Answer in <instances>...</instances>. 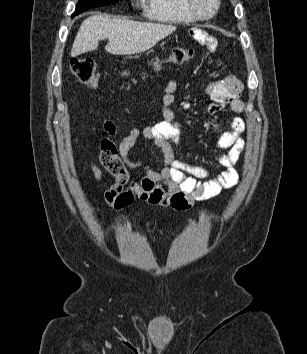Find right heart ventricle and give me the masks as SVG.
Segmentation results:
<instances>
[{"label":"right heart ventricle","mask_w":307,"mask_h":354,"mask_svg":"<svg viewBox=\"0 0 307 354\" xmlns=\"http://www.w3.org/2000/svg\"><path fill=\"white\" fill-rule=\"evenodd\" d=\"M147 18L163 23L189 24L195 21L185 8L184 0H146Z\"/></svg>","instance_id":"obj_1"}]
</instances>
